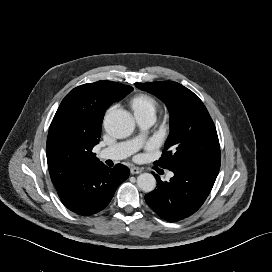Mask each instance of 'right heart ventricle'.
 I'll return each mask as SVG.
<instances>
[{
    "label": "right heart ventricle",
    "mask_w": 272,
    "mask_h": 272,
    "mask_svg": "<svg viewBox=\"0 0 272 272\" xmlns=\"http://www.w3.org/2000/svg\"><path fill=\"white\" fill-rule=\"evenodd\" d=\"M130 106L136 118H155L159 103L154 96L147 93H141L131 99Z\"/></svg>",
    "instance_id": "e07e8e85"
}]
</instances>
